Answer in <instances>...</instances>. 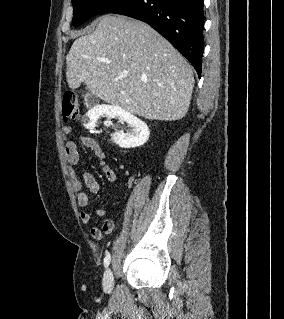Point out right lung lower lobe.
I'll list each match as a JSON object with an SVG mask.
<instances>
[{"instance_id": "98d812e1", "label": "right lung lower lobe", "mask_w": 284, "mask_h": 319, "mask_svg": "<svg viewBox=\"0 0 284 319\" xmlns=\"http://www.w3.org/2000/svg\"><path fill=\"white\" fill-rule=\"evenodd\" d=\"M110 12L149 24L188 59L201 77L203 0H129Z\"/></svg>"}]
</instances>
